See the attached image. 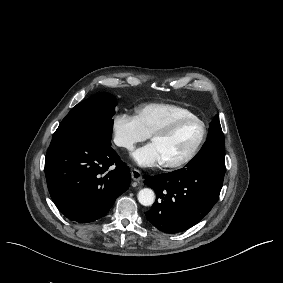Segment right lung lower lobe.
<instances>
[{"mask_svg": "<svg viewBox=\"0 0 283 283\" xmlns=\"http://www.w3.org/2000/svg\"><path fill=\"white\" fill-rule=\"evenodd\" d=\"M45 174L57 208L80 223L105 216L131 181L129 167L110 145L85 139L52 140Z\"/></svg>", "mask_w": 283, "mask_h": 283, "instance_id": "right-lung-lower-lobe-1", "label": "right lung lower lobe"}]
</instances>
